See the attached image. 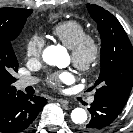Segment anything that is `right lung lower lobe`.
Returning <instances> with one entry per match:
<instances>
[{
	"label": "right lung lower lobe",
	"mask_w": 133,
	"mask_h": 133,
	"mask_svg": "<svg viewBox=\"0 0 133 133\" xmlns=\"http://www.w3.org/2000/svg\"><path fill=\"white\" fill-rule=\"evenodd\" d=\"M47 100L13 90L0 98V132L17 133L35 120Z\"/></svg>",
	"instance_id": "right-lung-lower-lobe-1"
}]
</instances>
